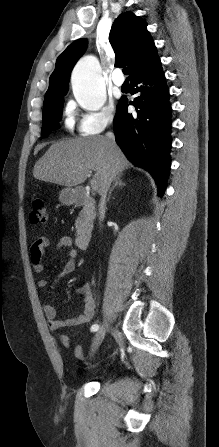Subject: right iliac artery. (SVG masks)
Segmentation results:
<instances>
[{
	"label": "right iliac artery",
	"mask_w": 219,
	"mask_h": 447,
	"mask_svg": "<svg viewBox=\"0 0 219 447\" xmlns=\"http://www.w3.org/2000/svg\"><path fill=\"white\" fill-rule=\"evenodd\" d=\"M98 329H99V325H98V324H94V325L91 326V331H92V332H95V331H97Z\"/></svg>",
	"instance_id": "1"
}]
</instances>
